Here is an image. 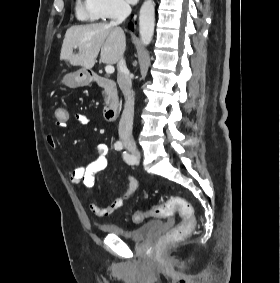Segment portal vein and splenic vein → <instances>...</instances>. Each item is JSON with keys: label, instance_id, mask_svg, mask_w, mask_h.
<instances>
[{"label": "portal vein and splenic vein", "instance_id": "obj_1", "mask_svg": "<svg viewBox=\"0 0 280 283\" xmlns=\"http://www.w3.org/2000/svg\"><path fill=\"white\" fill-rule=\"evenodd\" d=\"M76 48V47H75ZM114 71H115V69H114V67L112 66V65H106V67H105V72L107 73V74H112V73H114Z\"/></svg>", "mask_w": 280, "mask_h": 283}]
</instances>
